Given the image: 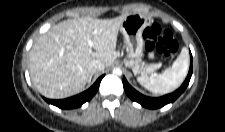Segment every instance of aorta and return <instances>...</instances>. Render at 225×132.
Returning <instances> with one entry per match:
<instances>
[{"instance_id": "obj_1", "label": "aorta", "mask_w": 225, "mask_h": 132, "mask_svg": "<svg viewBox=\"0 0 225 132\" xmlns=\"http://www.w3.org/2000/svg\"><path fill=\"white\" fill-rule=\"evenodd\" d=\"M113 74L116 76L122 75V70L120 68H114Z\"/></svg>"}]
</instances>
